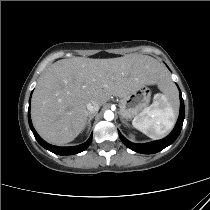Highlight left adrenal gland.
Instances as JSON below:
<instances>
[{
    "mask_svg": "<svg viewBox=\"0 0 210 210\" xmlns=\"http://www.w3.org/2000/svg\"><path fill=\"white\" fill-rule=\"evenodd\" d=\"M122 123L125 125H128L127 122H125L123 119H121Z\"/></svg>",
    "mask_w": 210,
    "mask_h": 210,
    "instance_id": "left-adrenal-gland-1",
    "label": "left adrenal gland"
}]
</instances>
